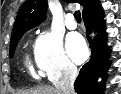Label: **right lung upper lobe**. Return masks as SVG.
Returning <instances> with one entry per match:
<instances>
[{"mask_svg":"<svg viewBox=\"0 0 121 94\" xmlns=\"http://www.w3.org/2000/svg\"><path fill=\"white\" fill-rule=\"evenodd\" d=\"M66 2H77L83 6V15L96 8L99 0H64ZM46 0H26L20 7L11 38L17 34L27 31L40 24L46 18Z\"/></svg>","mask_w":121,"mask_h":94,"instance_id":"cb5924a9","label":"right lung upper lobe"}]
</instances>
